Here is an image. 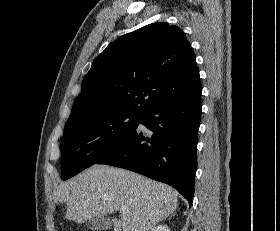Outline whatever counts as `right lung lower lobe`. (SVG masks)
Listing matches in <instances>:
<instances>
[{
  "mask_svg": "<svg viewBox=\"0 0 280 231\" xmlns=\"http://www.w3.org/2000/svg\"><path fill=\"white\" fill-rule=\"evenodd\" d=\"M201 93L164 101L142 114L137 128L96 164L125 168L174 187L192 204ZM138 124V125H139Z\"/></svg>",
  "mask_w": 280,
  "mask_h": 231,
  "instance_id": "right-lung-lower-lobe-1",
  "label": "right lung lower lobe"
}]
</instances>
